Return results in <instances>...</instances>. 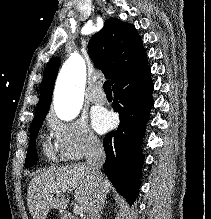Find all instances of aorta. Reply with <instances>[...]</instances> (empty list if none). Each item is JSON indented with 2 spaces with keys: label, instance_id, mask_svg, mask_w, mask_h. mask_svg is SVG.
I'll return each mask as SVG.
<instances>
[{
  "label": "aorta",
  "instance_id": "762f6f07",
  "mask_svg": "<svg viewBox=\"0 0 211 219\" xmlns=\"http://www.w3.org/2000/svg\"><path fill=\"white\" fill-rule=\"evenodd\" d=\"M86 67L83 59L72 55L63 65L56 82L54 106L62 120L76 118L83 104Z\"/></svg>",
  "mask_w": 211,
  "mask_h": 219
}]
</instances>
